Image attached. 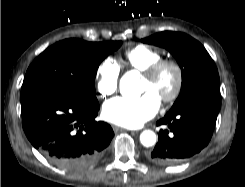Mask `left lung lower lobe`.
Segmentation results:
<instances>
[{"mask_svg": "<svg viewBox=\"0 0 245 187\" xmlns=\"http://www.w3.org/2000/svg\"><path fill=\"white\" fill-rule=\"evenodd\" d=\"M219 109L220 97L215 93L168 112L157 125H166L169 130H160L149 159L157 164L173 165L201 151L212 137Z\"/></svg>", "mask_w": 245, "mask_h": 187, "instance_id": "1", "label": "left lung lower lobe"}]
</instances>
